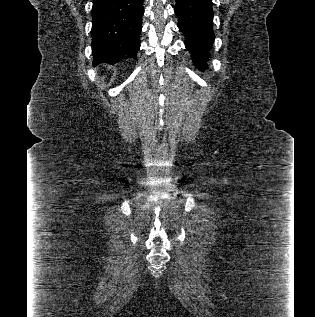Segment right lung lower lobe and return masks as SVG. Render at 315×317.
I'll return each instance as SVG.
<instances>
[{
	"mask_svg": "<svg viewBox=\"0 0 315 317\" xmlns=\"http://www.w3.org/2000/svg\"><path fill=\"white\" fill-rule=\"evenodd\" d=\"M144 0H94L92 8L93 63L115 64L122 58L136 59Z\"/></svg>",
	"mask_w": 315,
	"mask_h": 317,
	"instance_id": "obj_1",
	"label": "right lung lower lobe"
}]
</instances>
